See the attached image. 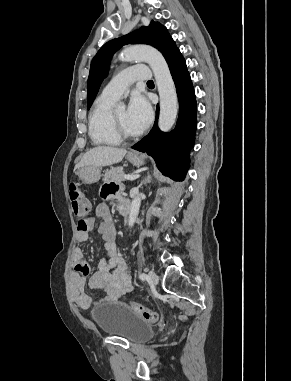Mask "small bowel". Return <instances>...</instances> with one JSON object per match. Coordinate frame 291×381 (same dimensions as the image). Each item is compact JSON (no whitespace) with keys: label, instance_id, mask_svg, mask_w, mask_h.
Segmentation results:
<instances>
[{"label":"small bowel","instance_id":"obj_1","mask_svg":"<svg viewBox=\"0 0 291 381\" xmlns=\"http://www.w3.org/2000/svg\"><path fill=\"white\" fill-rule=\"evenodd\" d=\"M109 189L110 191H105L106 195H111L115 191V189ZM125 204H128L125 200L119 203L122 214H124ZM95 216L100 218L101 222L96 224L95 218L92 217L87 221L85 230H81L80 222L78 223L76 241L78 243L88 241L89 233L93 230L101 235L106 257L99 262L97 270L88 280V285L92 289L104 291L105 297L101 302L111 303L130 292L133 289V281L125 260L117 252L116 232L108 205L98 204L95 208ZM72 266L73 272L69 277L71 295L80 308L87 309L98 302L86 292V277L91 273V266L80 248L74 249Z\"/></svg>","mask_w":291,"mask_h":381}]
</instances>
